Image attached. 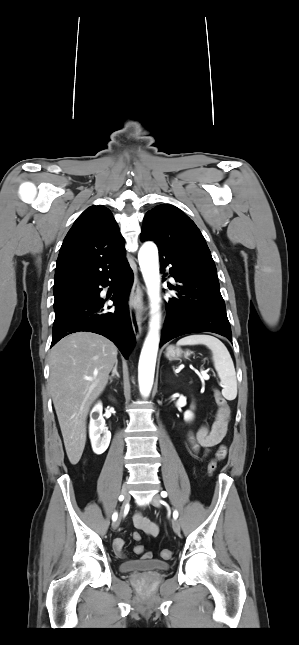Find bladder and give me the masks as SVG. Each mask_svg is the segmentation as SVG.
<instances>
[{"label":"bladder","mask_w":299,"mask_h":645,"mask_svg":"<svg viewBox=\"0 0 299 645\" xmlns=\"http://www.w3.org/2000/svg\"><path fill=\"white\" fill-rule=\"evenodd\" d=\"M119 568L122 573H151L167 571L170 565L166 561L151 558L125 561Z\"/></svg>","instance_id":"31cf9c89"}]
</instances>
